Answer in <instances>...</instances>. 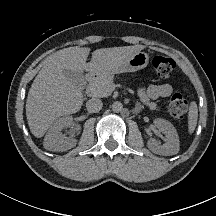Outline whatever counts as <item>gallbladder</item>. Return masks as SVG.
Instances as JSON below:
<instances>
[{
    "label": "gallbladder",
    "mask_w": 216,
    "mask_h": 216,
    "mask_svg": "<svg viewBox=\"0 0 216 216\" xmlns=\"http://www.w3.org/2000/svg\"><path fill=\"white\" fill-rule=\"evenodd\" d=\"M63 73L69 81H71L74 84H77L78 86H80V84L84 81V77L81 72L65 69L63 70Z\"/></svg>",
    "instance_id": "obj_1"
}]
</instances>
